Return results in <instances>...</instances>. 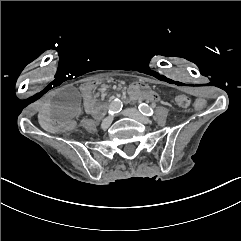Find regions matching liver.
Wrapping results in <instances>:
<instances>
[{
	"label": "liver",
	"instance_id": "1",
	"mask_svg": "<svg viewBox=\"0 0 241 241\" xmlns=\"http://www.w3.org/2000/svg\"><path fill=\"white\" fill-rule=\"evenodd\" d=\"M50 121L49 118H44V121H40V125L41 127L46 130V131H49L51 133H54L55 130L53 129V127L48 123Z\"/></svg>",
	"mask_w": 241,
	"mask_h": 241
}]
</instances>
